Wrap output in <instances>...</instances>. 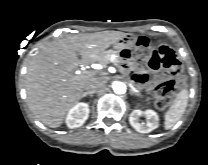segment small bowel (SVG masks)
<instances>
[{"instance_id": "obj_1", "label": "small bowel", "mask_w": 208, "mask_h": 165, "mask_svg": "<svg viewBox=\"0 0 208 165\" xmlns=\"http://www.w3.org/2000/svg\"><path fill=\"white\" fill-rule=\"evenodd\" d=\"M119 55L124 61H126L121 64L120 69L123 73L127 74L128 79L132 82H137L140 85H147V74L138 69H133L132 64L129 62L134 57L133 52L129 48H122Z\"/></svg>"}]
</instances>
